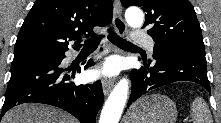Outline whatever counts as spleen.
<instances>
[{
  "instance_id": "1",
  "label": "spleen",
  "mask_w": 221,
  "mask_h": 123,
  "mask_svg": "<svg viewBox=\"0 0 221 123\" xmlns=\"http://www.w3.org/2000/svg\"><path fill=\"white\" fill-rule=\"evenodd\" d=\"M190 115L194 123H213L209 107L201 97L192 101Z\"/></svg>"
}]
</instances>
